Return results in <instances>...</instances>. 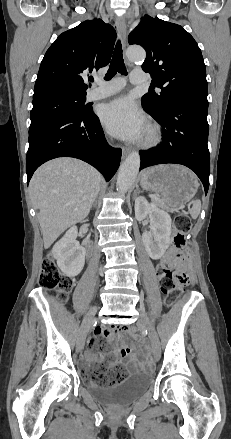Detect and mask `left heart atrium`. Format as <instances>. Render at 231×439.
<instances>
[{"mask_svg":"<svg viewBox=\"0 0 231 439\" xmlns=\"http://www.w3.org/2000/svg\"><path fill=\"white\" fill-rule=\"evenodd\" d=\"M100 116L108 132L124 140H139L147 129L144 115L128 97H119L105 104Z\"/></svg>","mask_w":231,"mask_h":439,"instance_id":"left-heart-atrium-1","label":"left heart atrium"}]
</instances>
